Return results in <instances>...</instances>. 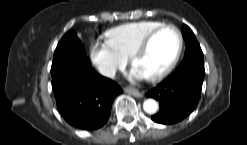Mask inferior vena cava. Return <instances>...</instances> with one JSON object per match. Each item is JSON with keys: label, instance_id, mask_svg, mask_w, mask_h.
Segmentation results:
<instances>
[{"label": "inferior vena cava", "instance_id": "inferior-vena-cava-1", "mask_svg": "<svg viewBox=\"0 0 247 145\" xmlns=\"http://www.w3.org/2000/svg\"><path fill=\"white\" fill-rule=\"evenodd\" d=\"M99 72L106 77L113 78L116 74V68L113 66L104 65L99 67Z\"/></svg>", "mask_w": 247, "mask_h": 145}]
</instances>
